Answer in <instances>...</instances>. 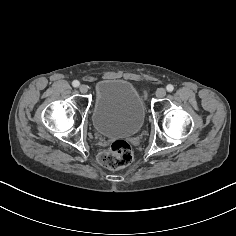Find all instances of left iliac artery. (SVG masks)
I'll return each instance as SVG.
<instances>
[{
	"mask_svg": "<svg viewBox=\"0 0 236 236\" xmlns=\"http://www.w3.org/2000/svg\"><path fill=\"white\" fill-rule=\"evenodd\" d=\"M166 89H167L168 92H172V91L174 90V87H173V85L168 84V85L166 86Z\"/></svg>",
	"mask_w": 236,
	"mask_h": 236,
	"instance_id": "1",
	"label": "left iliac artery"
}]
</instances>
